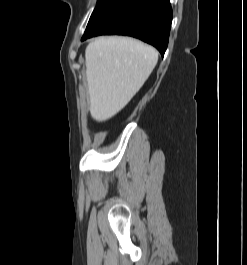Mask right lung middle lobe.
<instances>
[{
	"label": "right lung middle lobe",
	"mask_w": 247,
	"mask_h": 265,
	"mask_svg": "<svg viewBox=\"0 0 247 265\" xmlns=\"http://www.w3.org/2000/svg\"><path fill=\"white\" fill-rule=\"evenodd\" d=\"M101 2V0H98L97 5Z\"/></svg>",
	"instance_id": "dd1d6c3e"
}]
</instances>
